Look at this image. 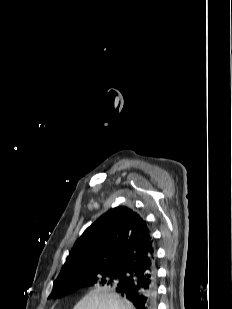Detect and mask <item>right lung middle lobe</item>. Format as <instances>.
<instances>
[{"label": "right lung middle lobe", "instance_id": "dd1d6c3e", "mask_svg": "<svg viewBox=\"0 0 232 309\" xmlns=\"http://www.w3.org/2000/svg\"><path fill=\"white\" fill-rule=\"evenodd\" d=\"M128 279V273L122 270H96L53 286L51 297L61 298L80 286L99 284L118 287ZM52 299V298H50Z\"/></svg>", "mask_w": 232, "mask_h": 309}]
</instances>
